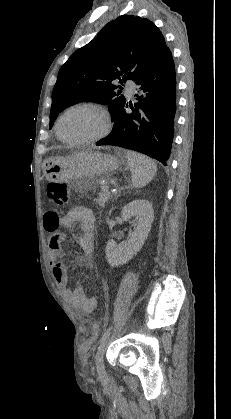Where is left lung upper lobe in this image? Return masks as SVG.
Returning a JSON list of instances; mask_svg holds the SVG:
<instances>
[{"label":"left lung upper lobe","instance_id":"obj_1","mask_svg":"<svg viewBox=\"0 0 231 419\" xmlns=\"http://www.w3.org/2000/svg\"><path fill=\"white\" fill-rule=\"evenodd\" d=\"M168 50L160 30L146 18L122 15L109 22L60 68L52 93L49 128L61 111L80 101L108 104L113 116L126 99L120 90L115 91L122 87L111 82L135 81Z\"/></svg>","mask_w":231,"mask_h":419}]
</instances>
